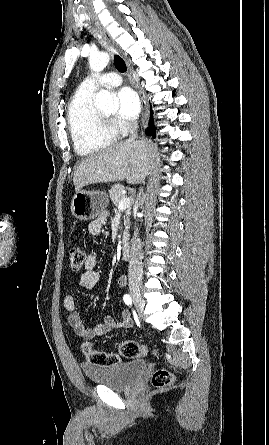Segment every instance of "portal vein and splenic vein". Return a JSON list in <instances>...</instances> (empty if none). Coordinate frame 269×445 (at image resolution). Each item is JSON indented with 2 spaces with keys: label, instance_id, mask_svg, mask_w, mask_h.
I'll return each instance as SVG.
<instances>
[{
  "label": "portal vein and splenic vein",
  "instance_id": "obj_1",
  "mask_svg": "<svg viewBox=\"0 0 269 445\" xmlns=\"http://www.w3.org/2000/svg\"><path fill=\"white\" fill-rule=\"evenodd\" d=\"M131 203V199L128 197H124L118 204V209L123 210L129 207Z\"/></svg>",
  "mask_w": 269,
  "mask_h": 445
}]
</instances>
